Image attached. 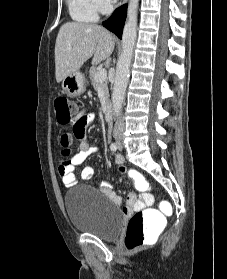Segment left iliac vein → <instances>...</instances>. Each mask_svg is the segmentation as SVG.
I'll return each instance as SVG.
<instances>
[{
    "label": "left iliac vein",
    "instance_id": "left-iliac-vein-1",
    "mask_svg": "<svg viewBox=\"0 0 227 279\" xmlns=\"http://www.w3.org/2000/svg\"><path fill=\"white\" fill-rule=\"evenodd\" d=\"M118 148H119V150H122V148H123L122 143H118Z\"/></svg>",
    "mask_w": 227,
    "mask_h": 279
}]
</instances>
